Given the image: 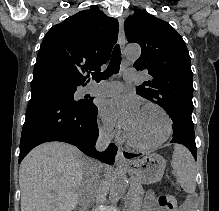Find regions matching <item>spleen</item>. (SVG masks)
I'll list each match as a JSON object with an SVG mask.
<instances>
[{
  "label": "spleen",
  "instance_id": "1",
  "mask_svg": "<svg viewBox=\"0 0 219 211\" xmlns=\"http://www.w3.org/2000/svg\"><path fill=\"white\" fill-rule=\"evenodd\" d=\"M171 165L176 175L177 183L187 193H194L196 189V167L195 161L187 147L176 143L172 155Z\"/></svg>",
  "mask_w": 219,
  "mask_h": 211
}]
</instances>
